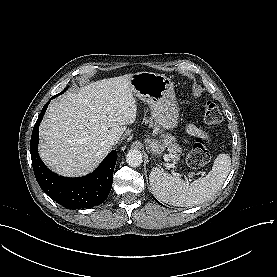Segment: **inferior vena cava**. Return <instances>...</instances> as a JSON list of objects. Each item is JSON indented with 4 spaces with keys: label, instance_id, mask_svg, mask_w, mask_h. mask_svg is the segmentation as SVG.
<instances>
[{
    "label": "inferior vena cava",
    "instance_id": "602c4592",
    "mask_svg": "<svg viewBox=\"0 0 277 277\" xmlns=\"http://www.w3.org/2000/svg\"><path fill=\"white\" fill-rule=\"evenodd\" d=\"M119 140V137L116 136V135H109L106 140H105V143L108 145V146H113L115 145Z\"/></svg>",
    "mask_w": 277,
    "mask_h": 277
}]
</instances>
